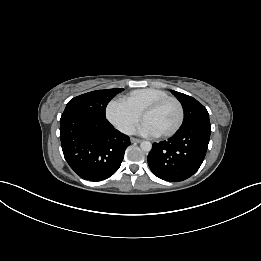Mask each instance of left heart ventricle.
I'll return each mask as SVG.
<instances>
[{"mask_svg":"<svg viewBox=\"0 0 261 261\" xmlns=\"http://www.w3.org/2000/svg\"><path fill=\"white\" fill-rule=\"evenodd\" d=\"M179 118V111L175 103L168 102L158 109L148 113L144 121L148 122L159 134L172 129Z\"/></svg>","mask_w":261,"mask_h":261,"instance_id":"obj_1","label":"left heart ventricle"}]
</instances>
